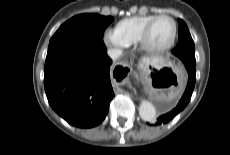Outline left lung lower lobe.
<instances>
[{
  "label": "left lung lower lobe",
  "mask_w": 230,
  "mask_h": 155,
  "mask_svg": "<svg viewBox=\"0 0 230 155\" xmlns=\"http://www.w3.org/2000/svg\"><path fill=\"white\" fill-rule=\"evenodd\" d=\"M183 63L188 72V84L186 86L185 92L182 98L180 99L179 103L177 104V106L173 108L171 111L159 116L155 125H161V124L168 123L171 119H173L179 112H181L187 106L192 96V92H193L195 81H196L195 63L193 62V60L188 59V57L183 60Z\"/></svg>",
  "instance_id": "0a47b994"
}]
</instances>
